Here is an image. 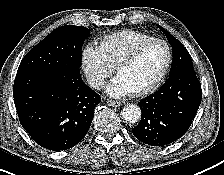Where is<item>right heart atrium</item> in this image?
Returning a JSON list of instances; mask_svg holds the SVG:
<instances>
[{
	"label": "right heart atrium",
	"instance_id": "right-heart-atrium-1",
	"mask_svg": "<svg viewBox=\"0 0 224 175\" xmlns=\"http://www.w3.org/2000/svg\"><path fill=\"white\" fill-rule=\"evenodd\" d=\"M82 63L87 80L95 89H99L114 71V66L99 47L86 46L82 53Z\"/></svg>",
	"mask_w": 224,
	"mask_h": 175
}]
</instances>
